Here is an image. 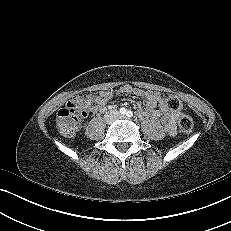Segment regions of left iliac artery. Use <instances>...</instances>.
I'll list each match as a JSON object with an SVG mask.
<instances>
[{"label":"left iliac artery","mask_w":231,"mask_h":231,"mask_svg":"<svg viewBox=\"0 0 231 231\" xmlns=\"http://www.w3.org/2000/svg\"><path fill=\"white\" fill-rule=\"evenodd\" d=\"M126 115H127V117H132L133 113H132V111L128 110V111L126 112Z\"/></svg>","instance_id":"left-iliac-artery-1"}]
</instances>
